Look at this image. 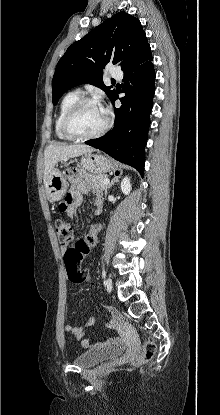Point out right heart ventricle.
<instances>
[{
  "label": "right heart ventricle",
  "mask_w": 220,
  "mask_h": 415,
  "mask_svg": "<svg viewBox=\"0 0 220 415\" xmlns=\"http://www.w3.org/2000/svg\"><path fill=\"white\" fill-rule=\"evenodd\" d=\"M79 99H81V93L77 90L69 92L63 97L54 123L55 134L59 139L71 140L63 133L61 129V122L66 111Z\"/></svg>",
  "instance_id": "e07e8e85"
}]
</instances>
